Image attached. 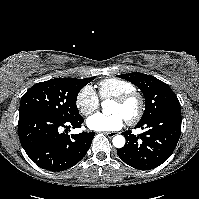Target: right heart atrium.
Returning <instances> with one entry per match:
<instances>
[{
	"instance_id": "obj_1",
	"label": "right heart atrium",
	"mask_w": 199,
	"mask_h": 199,
	"mask_svg": "<svg viewBox=\"0 0 199 199\" xmlns=\"http://www.w3.org/2000/svg\"><path fill=\"white\" fill-rule=\"evenodd\" d=\"M100 105V100L92 86H84L76 97V106L80 113L84 116H89L97 111Z\"/></svg>"
}]
</instances>
